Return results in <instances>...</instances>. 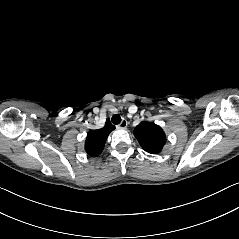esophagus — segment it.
Listing matches in <instances>:
<instances>
[{"instance_id": "1", "label": "esophagus", "mask_w": 239, "mask_h": 239, "mask_svg": "<svg viewBox=\"0 0 239 239\" xmlns=\"http://www.w3.org/2000/svg\"><path fill=\"white\" fill-rule=\"evenodd\" d=\"M127 120L126 119H122L121 123L118 125L119 128H126L127 127Z\"/></svg>"}]
</instances>
